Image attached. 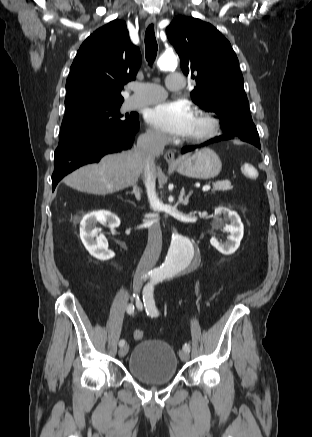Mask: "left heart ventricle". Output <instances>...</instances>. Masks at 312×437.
I'll list each match as a JSON object with an SVG mask.
<instances>
[{
	"instance_id": "left-heart-ventricle-1",
	"label": "left heart ventricle",
	"mask_w": 312,
	"mask_h": 437,
	"mask_svg": "<svg viewBox=\"0 0 312 437\" xmlns=\"http://www.w3.org/2000/svg\"><path fill=\"white\" fill-rule=\"evenodd\" d=\"M202 126H203L202 122L195 117L194 122H193L192 131L188 136L190 137V136H193L194 134H196L198 131H200L202 129Z\"/></svg>"
}]
</instances>
